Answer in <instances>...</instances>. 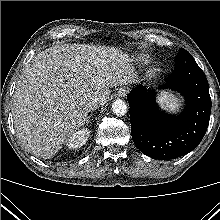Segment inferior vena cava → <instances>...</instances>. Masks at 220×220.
Instances as JSON below:
<instances>
[{"label":"inferior vena cava","mask_w":220,"mask_h":220,"mask_svg":"<svg viewBox=\"0 0 220 220\" xmlns=\"http://www.w3.org/2000/svg\"><path fill=\"white\" fill-rule=\"evenodd\" d=\"M100 105V100L98 97H92L85 105L88 111L96 110Z\"/></svg>","instance_id":"inferior-vena-cava-1"}]
</instances>
